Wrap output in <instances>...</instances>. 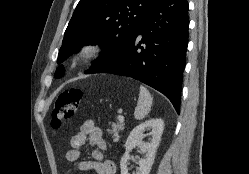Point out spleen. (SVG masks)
I'll return each mask as SVG.
<instances>
[{
    "mask_svg": "<svg viewBox=\"0 0 249 174\" xmlns=\"http://www.w3.org/2000/svg\"><path fill=\"white\" fill-rule=\"evenodd\" d=\"M151 106H152V97L149 91L145 87L140 86L139 98L137 101V106L134 111L135 119L137 120L144 119L146 115H148V113L150 112Z\"/></svg>",
    "mask_w": 249,
    "mask_h": 174,
    "instance_id": "1",
    "label": "spleen"
}]
</instances>
